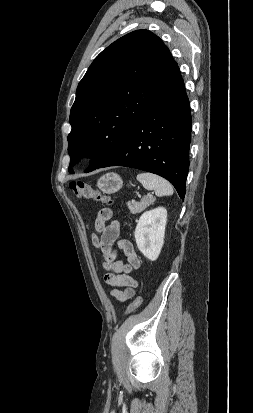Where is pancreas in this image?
<instances>
[{
	"instance_id": "1",
	"label": "pancreas",
	"mask_w": 253,
	"mask_h": 413,
	"mask_svg": "<svg viewBox=\"0 0 253 413\" xmlns=\"http://www.w3.org/2000/svg\"><path fill=\"white\" fill-rule=\"evenodd\" d=\"M155 201V198L153 197H143L140 202H134L131 203L129 202L127 204L128 209L131 211L133 214H139L143 210H145L148 206L153 204Z\"/></svg>"
}]
</instances>
